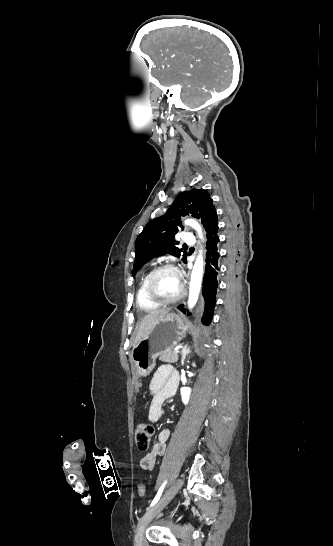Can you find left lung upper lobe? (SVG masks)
I'll return each mask as SVG.
<instances>
[{"mask_svg": "<svg viewBox=\"0 0 333 546\" xmlns=\"http://www.w3.org/2000/svg\"><path fill=\"white\" fill-rule=\"evenodd\" d=\"M191 214L194 218L201 219L204 228L207 227L216 210L209 193L203 189H192L182 192L177 196L166 214L151 220L137 237L135 243V261L133 276L150 259L164 254L181 256L182 249L176 245L175 234L183 230L180 217ZM187 252L182 255L185 263Z\"/></svg>", "mask_w": 333, "mask_h": 546, "instance_id": "5c2ea615", "label": "left lung upper lobe"}]
</instances>
